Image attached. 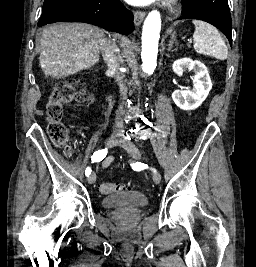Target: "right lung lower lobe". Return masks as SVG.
I'll return each mask as SVG.
<instances>
[{"instance_id":"1","label":"right lung lower lobe","mask_w":256,"mask_h":267,"mask_svg":"<svg viewBox=\"0 0 256 267\" xmlns=\"http://www.w3.org/2000/svg\"><path fill=\"white\" fill-rule=\"evenodd\" d=\"M55 22H84L123 35L134 29L133 14L119 0L60 2L43 8L38 26Z\"/></svg>"}]
</instances>
